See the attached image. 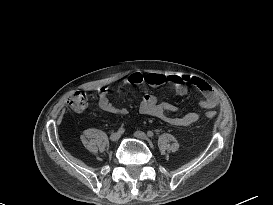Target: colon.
Masks as SVG:
<instances>
[{
  "instance_id": "obj_1",
  "label": "colon",
  "mask_w": 273,
  "mask_h": 205,
  "mask_svg": "<svg viewBox=\"0 0 273 205\" xmlns=\"http://www.w3.org/2000/svg\"><path fill=\"white\" fill-rule=\"evenodd\" d=\"M90 94L88 92L84 91H74L67 97V104L68 106L77 112H81L85 110L89 103ZM206 116L208 118H214L215 113L214 112H207Z\"/></svg>"
}]
</instances>
